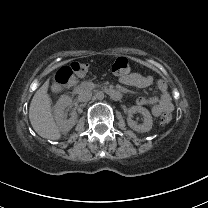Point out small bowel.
<instances>
[{
	"instance_id": "c3829d8e",
	"label": "small bowel",
	"mask_w": 208,
	"mask_h": 208,
	"mask_svg": "<svg viewBox=\"0 0 208 208\" xmlns=\"http://www.w3.org/2000/svg\"><path fill=\"white\" fill-rule=\"evenodd\" d=\"M120 82L127 86L138 88H150L155 84V78L152 75H141L139 73H127L120 77ZM161 96L159 101L152 102L145 97H139L137 103L139 105L152 104V113L154 116H159L162 113H170L173 109L171 96L168 90L167 83L163 80L157 82Z\"/></svg>"
}]
</instances>
